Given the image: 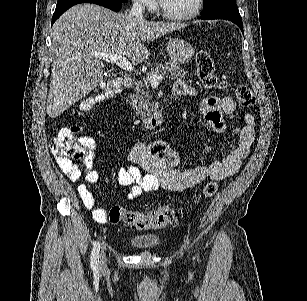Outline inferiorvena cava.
Instances as JSON below:
<instances>
[{
	"instance_id": "obj_1",
	"label": "inferior vena cava",
	"mask_w": 307,
	"mask_h": 301,
	"mask_svg": "<svg viewBox=\"0 0 307 301\" xmlns=\"http://www.w3.org/2000/svg\"><path fill=\"white\" fill-rule=\"evenodd\" d=\"M145 12V4L142 0H134L130 8V16H135L136 20H143V14Z\"/></svg>"
}]
</instances>
